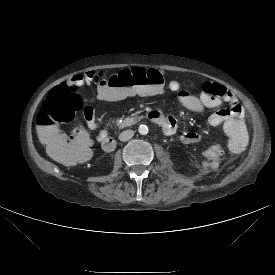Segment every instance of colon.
Segmentation results:
<instances>
[{
    "mask_svg": "<svg viewBox=\"0 0 275 275\" xmlns=\"http://www.w3.org/2000/svg\"><path fill=\"white\" fill-rule=\"evenodd\" d=\"M164 78L162 71L142 68L129 70L126 74L121 72L110 79H105L100 74L96 76L101 85L99 96L109 102L160 95L165 88ZM78 113L86 117L93 110L84 107L80 90L75 84L62 83L47 96L37 121L48 153L53 159H63L72 152L76 144V133L67 136L59 126L71 123Z\"/></svg>",
    "mask_w": 275,
    "mask_h": 275,
    "instance_id": "5ec220e1",
    "label": "colon"
}]
</instances>
